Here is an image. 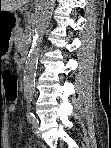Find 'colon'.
<instances>
[{
    "instance_id": "1",
    "label": "colon",
    "mask_w": 111,
    "mask_h": 148,
    "mask_svg": "<svg viewBox=\"0 0 111 148\" xmlns=\"http://www.w3.org/2000/svg\"><path fill=\"white\" fill-rule=\"evenodd\" d=\"M0 82L4 87V96L8 101H16L19 82L16 75L8 70L0 72Z\"/></svg>"
}]
</instances>
